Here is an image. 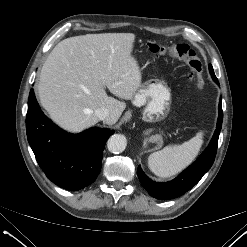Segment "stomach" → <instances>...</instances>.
Returning <instances> with one entry per match:
<instances>
[{
  "instance_id": "obj_1",
  "label": "stomach",
  "mask_w": 247,
  "mask_h": 247,
  "mask_svg": "<svg viewBox=\"0 0 247 247\" xmlns=\"http://www.w3.org/2000/svg\"><path fill=\"white\" fill-rule=\"evenodd\" d=\"M171 103V89L159 79H150L141 84L133 97L135 106H144L142 115L143 120L147 122L165 119L171 109Z\"/></svg>"
}]
</instances>
